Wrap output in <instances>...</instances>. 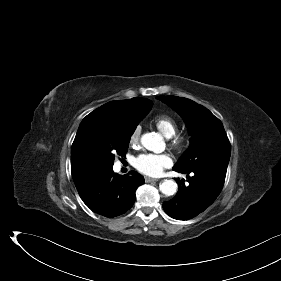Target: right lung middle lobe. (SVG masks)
I'll return each mask as SVG.
<instances>
[{"mask_svg":"<svg viewBox=\"0 0 281 281\" xmlns=\"http://www.w3.org/2000/svg\"><path fill=\"white\" fill-rule=\"evenodd\" d=\"M138 122L126 128H114L101 131L99 136L90 141L86 153L94 169L112 167L115 154L125 156L130 137Z\"/></svg>","mask_w":281,"mask_h":281,"instance_id":"obj_1","label":"right lung middle lobe"}]
</instances>
